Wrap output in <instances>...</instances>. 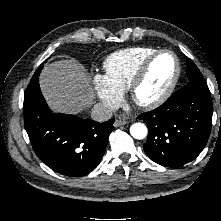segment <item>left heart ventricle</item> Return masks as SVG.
<instances>
[{"label":"left heart ventricle","instance_id":"obj_1","mask_svg":"<svg viewBox=\"0 0 221 221\" xmlns=\"http://www.w3.org/2000/svg\"><path fill=\"white\" fill-rule=\"evenodd\" d=\"M175 73V61L170 54L160 55L151 65L148 75L137 92L140 100L158 96L170 83Z\"/></svg>","mask_w":221,"mask_h":221}]
</instances>
